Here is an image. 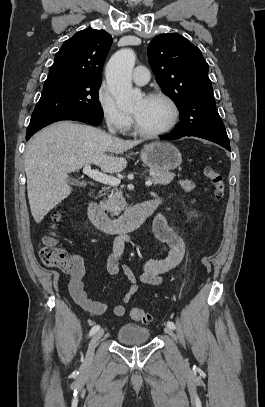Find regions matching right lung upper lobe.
<instances>
[{
  "label": "right lung upper lobe",
  "mask_w": 265,
  "mask_h": 407,
  "mask_svg": "<svg viewBox=\"0 0 265 407\" xmlns=\"http://www.w3.org/2000/svg\"><path fill=\"white\" fill-rule=\"evenodd\" d=\"M104 30L88 28L64 42L55 55L48 77L66 74L90 80H101L102 67L112 44Z\"/></svg>",
  "instance_id": "cb5924a9"
}]
</instances>
